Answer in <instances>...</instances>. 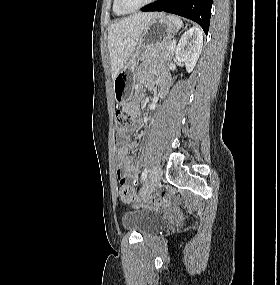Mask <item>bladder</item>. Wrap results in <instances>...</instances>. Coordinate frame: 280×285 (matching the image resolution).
Masks as SVG:
<instances>
[{"instance_id":"bladder-1","label":"bladder","mask_w":280,"mask_h":285,"mask_svg":"<svg viewBox=\"0 0 280 285\" xmlns=\"http://www.w3.org/2000/svg\"><path fill=\"white\" fill-rule=\"evenodd\" d=\"M162 216L159 212L149 209H141L125 212L122 216V225L129 230H135L141 234L150 233L160 228Z\"/></svg>"}]
</instances>
